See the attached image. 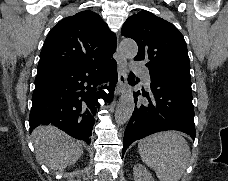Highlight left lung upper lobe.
I'll return each instance as SVG.
<instances>
[{
	"label": "left lung upper lobe",
	"mask_w": 228,
	"mask_h": 181,
	"mask_svg": "<svg viewBox=\"0 0 228 181\" xmlns=\"http://www.w3.org/2000/svg\"><path fill=\"white\" fill-rule=\"evenodd\" d=\"M121 34L137 42L135 60H143L148 67L161 68L190 80L187 46L172 23L143 10L126 20Z\"/></svg>",
	"instance_id": "1"
}]
</instances>
